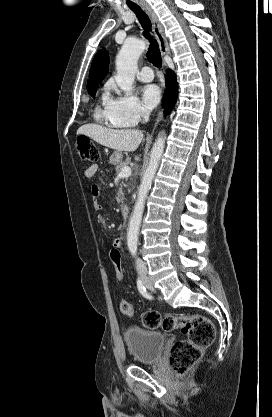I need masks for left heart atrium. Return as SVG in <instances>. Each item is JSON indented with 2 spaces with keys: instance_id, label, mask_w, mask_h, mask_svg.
Segmentation results:
<instances>
[{
  "instance_id": "1",
  "label": "left heart atrium",
  "mask_w": 272,
  "mask_h": 417,
  "mask_svg": "<svg viewBox=\"0 0 272 417\" xmlns=\"http://www.w3.org/2000/svg\"><path fill=\"white\" fill-rule=\"evenodd\" d=\"M142 99L148 109L154 108L161 99V90L154 84L146 85L142 89Z\"/></svg>"
}]
</instances>
